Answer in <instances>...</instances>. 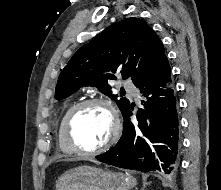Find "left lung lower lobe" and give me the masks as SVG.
I'll use <instances>...</instances> for the list:
<instances>
[{
	"label": "left lung lower lobe",
	"instance_id": "left-lung-lower-lobe-1",
	"mask_svg": "<svg viewBox=\"0 0 221 190\" xmlns=\"http://www.w3.org/2000/svg\"><path fill=\"white\" fill-rule=\"evenodd\" d=\"M135 86L142 93L138 125L123 113V134L107 152L96 156L106 164L141 172L173 174L179 166L180 135L177 100L166 55Z\"/></svg>",
	"mask_w": 221,
	"mask_h": 190
}]
</instances>
